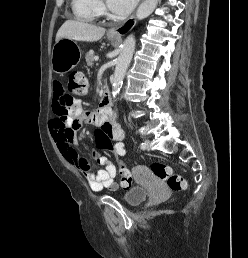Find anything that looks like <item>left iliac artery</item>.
Returning <instances> with one entry per match:
<instances>
[{
    "label": "left iliac artery",
    "mask_w": 248,
    "mask_h": 258,
    "mask_svg": "<svg viewBox=\"0 0 248 258\" xmlns=\"http://www.w3.org/2000/svg\"><path fill=\"white\" fill-rule=\"evenodd\" d=\"M140 148H141V149H144V148H145V144H144V143H141Z\"/></svg>",
    "instance_id": "obj_1"
}]
</instances>
